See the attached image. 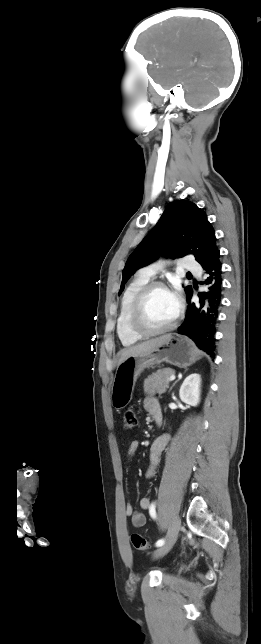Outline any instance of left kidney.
<instances>
[{
	"mask_svg": "<svg viewBox=\"0 0 261 644\" xmlns=\"http://www.w3.org/2000/svg\"><path fill=\"white\" fill-rule=\"evenodd\" d=\"M201 376L199 374L189 375L182 383L179 396L182 402L197 406L200 402Z\"/></svg>",
	"mask_w": 261,
	"mask_h": 644,
	"instance_id": "obj_1",
	"label": "left kidney"
}]
</instances>
